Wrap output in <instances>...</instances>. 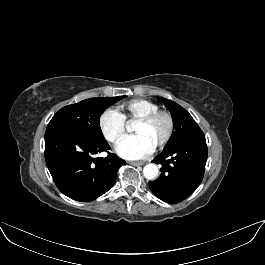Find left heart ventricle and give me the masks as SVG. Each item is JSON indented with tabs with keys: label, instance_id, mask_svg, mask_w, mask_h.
<instances>
[{
	"label": "left heart ventricle",
	"instance_id": "obj_1",
	"mask_svg": "<svg viewBox=\"0 0 265 265\" xmlns=\"http://www.w3.org/2000/svg\"><path fill=\"white\" fill-rule=\"evenodd\" d=\"M167 130V122L163 117H158L149 124L136 122L133 127L135 134L143 135L153 147H155L164 137Z\"/></svg>",
	"mask_w": 265,
	"mask_h": 265
}]
</instances>
